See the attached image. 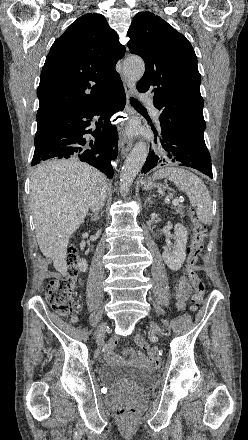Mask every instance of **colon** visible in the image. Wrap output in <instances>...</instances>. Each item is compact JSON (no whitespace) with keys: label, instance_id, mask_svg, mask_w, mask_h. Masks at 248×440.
I'll return each instance as SVG.
<instances>
[{"label":"colon","instance_id":"1","mask_svg":"<svg viewBox=\"0 0 248 440\" xmlns=\"http://www.w3.org/2000/svg\"><path fill=\"white\" fill-rule=\"evenodd\" d=\"M190 217L194 225V235L188 249V259L186 271L194 290L192 296L193 308L197 309L203 301L206 287L198 274V258L204 248L205 243V226L196 218L194 212L190 211ZM67 270L65 274L55 280H52L46 290V301L52 310L61 317H70L72 321H76L74 316L75 300L73 297L74 289L79 281L78 256L74 246L70 247L67 255ZM135 344L147 349L148 344L144 337L136 336ZM134 412L133 408H120L117 410L118 416L130 415Z\"/></svg>","mask_w":248,"mask_h":440}]
</instances>
